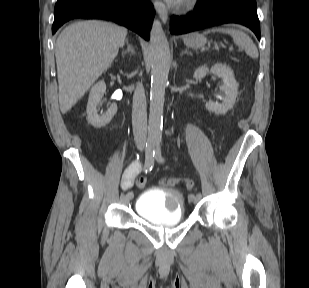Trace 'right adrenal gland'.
<instances>
[{
	"label": "right adrenal gland",
	"instance_id": "right-adrenal-gland-1",
	"mask_svg": "<svg viewBox=\"0 0 309 288\" xmlns=\"http://www.w3.org/2000/svg\"><path fill=\"white\" fill-rule=\"evenodd\" d=\"M126 43H127V49L122 52V56L124 57L126 54H129V53L134 55L135 54V50L132 47V45L129 44L128 39L126 40Z\"/></svg>",
	"mask_w": 309,
	"mask_h": 288
}]
</instances>
